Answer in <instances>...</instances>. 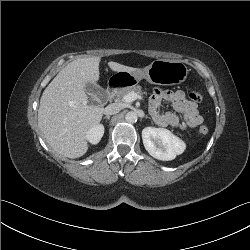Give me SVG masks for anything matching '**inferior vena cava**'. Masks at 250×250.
I'll use <instances>...</instances> for the list:
<instances>
[{"mask_svg": "<svg viewBox=\"0 0 250 250\" xmlns=\"http://www.w3.org/2000/svg\"><path fill=\"white\" fill-rule=\"evenodd\" d=\"M122 109L121 105L118 103H112L109 104L105 109H104V114L109 116V115H114L120 112Z\"/></svg>", "mask_w": 250, "mask_h": 250, "instance_id": "1", "label": "inferior vena cava"}]
</instances>
